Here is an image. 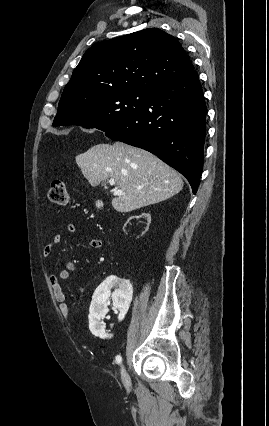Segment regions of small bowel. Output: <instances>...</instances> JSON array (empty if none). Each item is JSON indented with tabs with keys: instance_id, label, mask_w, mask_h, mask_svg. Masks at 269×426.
Instances as JSON below:
<instances>
[{
	"instance_id": "small-bowel-1",
	"label": "small bowel",
	"mask_w": 269,
	"mask_h": 426,
	"mask_svg": "<svg viewBox=\"0 0 269 426\" xmlns=\"http://www.w3.org/2000/svg\"><path fill=\"white\" fill-rule=\"evenodd\" d=\"M66 230L68 233H74L76 230V227L72 223H68L66 226ZM62 236L60 234H56L52 240L43 247V255L49 256L54 247L61 243ZM102 240L99 238H91L89 240V245L93 249H100L102 247ZM75 270V264L71 261L67 262L62 269H60L57 272H53L49 276V283L51 286V289L53 291V294L55 296L56 301L59 305V311L61 315L65 319H69L71 315L70 306L66 302V297L64 295L63 289H62V282L69 279L71 274Z\"/></svg>"
}]
</instances>
